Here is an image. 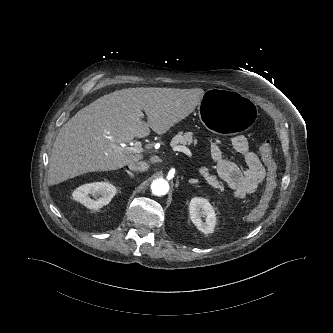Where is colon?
I'll return each mask as SVG.
<instances>
[{"instance_id": "colon-1", "label": "colon", "mask_w": 333, "mask_h": 333, "mask_svg": "<svg viewBox=\"0 0 333 333\" xmlns=\"http://www.w3.org/2000/svg\"><path fill=\"white\" fill-rule=\"evenodd\" d=\"M259 154L267 171L266 186L260 204L248 216L250 221H258L265 214L277 183V166L273 159L272 146L269 141H265L260 145Z\"/></svg>"}]
</instances>
